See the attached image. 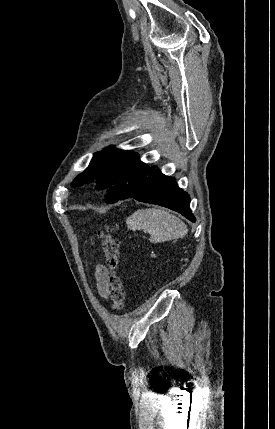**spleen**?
I'll use <instances>...</instances> for the list:
<instances>
[{
	"label": "spleen",
	"mask_w": 275,
	"mask_h": 429,
	"mask_svg": "<svg viewBox=\"0 0 275 429\" xmlns=\"http://www.w3.org/2000/svg\"><path fill=\"white\" fill-rule=\"evenodd\" d=\"M128 229L144 230L150 241L161 243L178 239L187 234V226L171 213L157 208L140 209L126 220Z\"/></svg>",
	"instance_id": "1"
}]
</instances>
